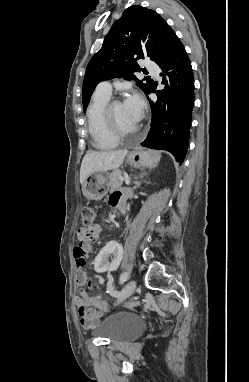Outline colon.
I'll list each match as a JSON object with an SVG mask.
<instances>
[{
    "label": "colon",
    "instance_id": "obj_1",
    "mask_svg": "<svg viewBox=\"0 0 249 382\" xmlns=\"http://www.w3.org/2000/svg\"><path fill=\"white\" fill-rule=\"evenodd\" d=\"M81 221L85 228H90L95 219V209L91 206L84 205L81 207ZM74 258L77 266L75 267V277L77 282H86L87 276L83 272V267L88 260V248H76L74 247Z\"/></svg>",
    "mask_w": 249,
    "mask_h": 382
}]
</instances>
